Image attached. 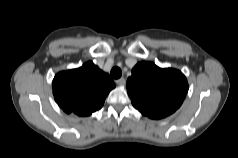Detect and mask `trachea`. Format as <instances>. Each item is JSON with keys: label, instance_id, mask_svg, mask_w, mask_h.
Listing matches in <instances>:
<instances>
[{"label": "trachea", "instance_id": "3493384b", "mask_svg": "<svg viewBox=\"0 0 238 158\" xmlns=\"http://www.w3.org/2000/svg\"><path fill=\"white\" fill-rule=\"evenodd\" d=\"M111 76L114 78V79H118L122 76V71L119 67H114L112 68L111 70Z\"/></svg>", "mask_w": 238, "mask_h": 158}]
</instances>
